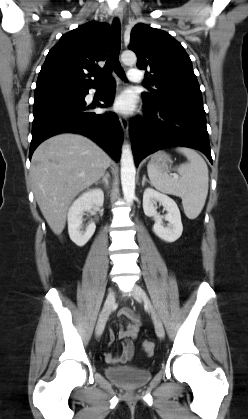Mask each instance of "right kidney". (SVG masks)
I'll return each instance as SVG.
<instances>
[{
    "mask_svg": "<svg viewBox=\"0 0 248 419\" xmlns=\"http://www.w3.org/2000/svg\"><path fill=\"white\" fill-rule=\"evenodd\" d=\"M104 202V193L101 189H91L77 198L68 211V232L70 239L77 246H84L95 232L96 225L90 223L86 231H81L84 212L90 211L94 206L101 207Z\"/></svg>",
    "mask_w": 248,
    "mask_h": 419,
    "instance_id": "right-kidney-1",
    "label": "right kidney"
}]
</instances>
